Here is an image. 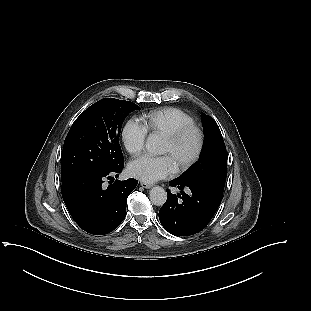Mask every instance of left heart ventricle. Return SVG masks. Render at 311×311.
<instances>
[{
  "label": "left heart ventricle",
  "instance_id": "obj_1",
  "mask_svg": "<svg viewBox=\"0 0 311 311\" xmlns=\"http://www.w3.org/2000/svg\"><path fill=\"white\" fill-rule=\"evenodd\" d=\"M194 145V135L188 134L175 146H171L164 140L160 153L166 154L170 158L171 162L176 165L192 152Z\"/></svg>",
  "mask_w": 311,
  "mask_h": 311
}]
</instances>
